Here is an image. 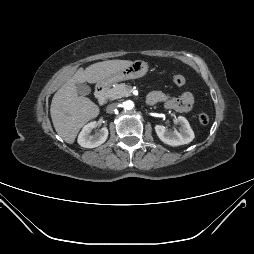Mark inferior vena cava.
<instances>
[{"label":"inferior vena cava","instance_id":"inferior-vena-cava-1","mask_svg":"<svg viewBox=\"0 0 254 254\" xmlns=\"http://www.w3.org/2000/svg\"><path fill=\"white\" fill-rule=\"evenodd\" d=\"M118 107L117 103H112L110 105L107 106L106 111L107 113H113L115 111V109Z\"/></svg>","mask_w":254,"mask_h":254}]
</instances>
